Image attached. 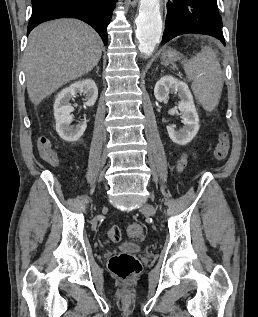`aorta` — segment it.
<instances>
[{
	"label": "aorta",
	"mask_w": 258,
	"mask_h": 317,
	"mask_svg": "<svg viewBox=\"0 0 258 317\" xmlns=\"http://www.w3.org/2000/svg\"><path fill=\"white\" fill-rule=\"evenodd\" d=\"M135 23L138 49L142 54L150 56L162 33L160 0H140L139 15Z\"/></svg>",
	"instance_id": "762f6f07"
}]
</instances>
